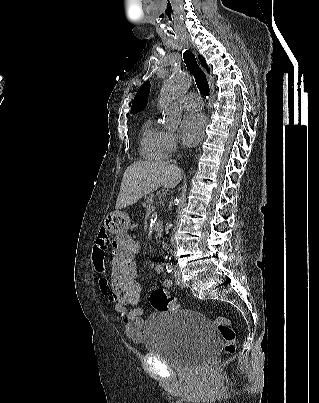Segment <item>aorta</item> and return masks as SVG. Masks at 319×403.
<instances>
[{"mask_svg": "<svg viewBox=\"0 0 319 403\" xmlns=\"http://www.w3.org/2000/svg\"><path fill=\"white\" fill-rule=\"evenodd\" d=\"M189 77L176 70L164 83L160 94V109L163 115L164 123L169 128L179 125L182 118L181 98L189 87ZM169 222L165 226V234L172 228ZM163 249H168V244L163 241Z\"/></svg>", "mask_w": 319, "mask_h": 403, "instance_id": "obj_1", "label": "aorta"}]
</instances>
